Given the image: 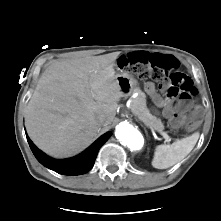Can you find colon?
<instances>
[{
    "label": "colon",
    "mask_w": 221,
    "mask_h": 221,
    "mask_svg": "<svg viewBox=\"0 0 221 221\" xmlns=\"http://www.w3.org/2000/svg\"><path fill=\"white\" fill-rule=\"evenodd\" d=\"M119 68L141 79H152L161 83L169 96H178L182 107L175 113L172 121L180 124L186 121L188 132L194 131L200 122L196 113L190 111V101L196 95V88L190 77L180 70L178 60L171 55L136 52L132 56H121Z\"/></svg>",
    "instance_id": "1"
}]
</instances>
